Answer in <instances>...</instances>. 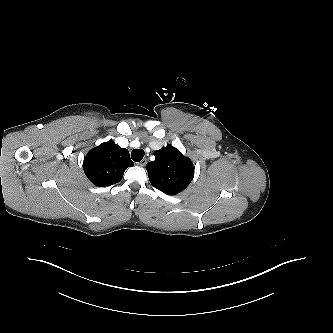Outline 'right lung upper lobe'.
<instances>
[{"label": "right lung upper lobe", "instance_id": "cb5924a9", "mask_svg": "<svg viewBox=\"0 0 333 333\" xmlns=\"http://www.w3.org/2000/svg\"><path fill=\"white\" fill-rule=\"evenodd\" d=\"M133 165L128 150L112 140L90 150L83 161L87 178L94 185L101 187L119 182L126 168Z\"/></svg>", "mask_w": 333, "mask_h": 333}]
</instances>
